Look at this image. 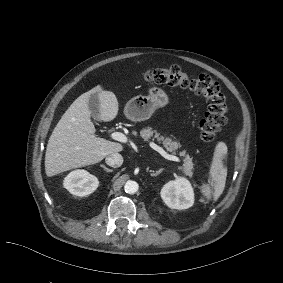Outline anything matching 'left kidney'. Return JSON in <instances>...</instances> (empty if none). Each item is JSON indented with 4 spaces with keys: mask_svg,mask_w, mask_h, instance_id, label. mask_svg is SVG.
Returning <instances> with one entry per match:
<instances>
[{
    "mask_svg": "<svg viewBox=\"0 0 283 283\" xmlns=\"http://www.w3.org/2000/svg\"><path fill=\"white\" fill-rule=\"evenodd\" d=\"M161 198L172 209H188L194 204V191L187 179L176 177L162 187Z\"/></svg>",
    "mask_w": 283,
    "mask_h": 283,
    "instance_id": "obj_1",
    "label": "left kidney"
}]
</instances>
